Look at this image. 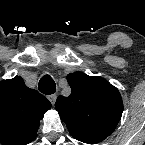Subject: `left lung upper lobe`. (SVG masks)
Returning a JSON list of instances; mask_svg holds the SVG:
<instances>
[{
	"mask_svg": "<svg viewBox=\"0 0 145 145\" xmlns=\"http://www.w3.org/2000/svg\"><path fill=\"white\" fill-rule=\"evenodd\" d=\"M69 97L59 96L55 107L68 130L109 129L118 124L123 102L119 91L101 77L74 72L67 75Z\"/></svg>",
	"mask_w": 145,
	"mask_h": 145,
	"instance_id": "1",
	"label": "left lung upper lobe"
}]
</instances>
